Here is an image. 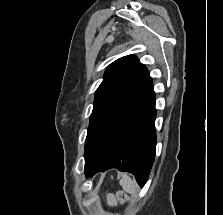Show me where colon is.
<instances>
[{
    "label": "colon",
    "mask_w": 223,
    "mask_h": 215,
    "mask_svg": "<svg viewBox=\"0 0 223 215\" xmlns=\"http://www.w3.org/2000/svg\"><path fill=\"white\" fill-rule=\"evenodd\" d=\"M116 199L121 203H125L128 201V196L125 192L119 190L116 192Z\"/></svg>",
    "instance_id": "5ec220e1"
}]
</instances>
